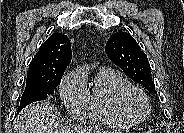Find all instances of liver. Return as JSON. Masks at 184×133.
I'll use <instances>...</instances> for the list:
<instances>
[{
	"label": "liver",
	"mask_w": 184,
	"mask_h": 133,
	"mask_svg": "<svg viewBox=\"0 0 184 133\" xmlns=\"http://www.w3.org/2000/svg\"><path fill=\"white\" fill-rule=\"evenodd\" d=\"M17 133H105L96 128L60 127L56 122V109L47 101L32 103L18 116Z\"/></svg>",
	"instance_id": "6515ba94"
}]
</instances>
